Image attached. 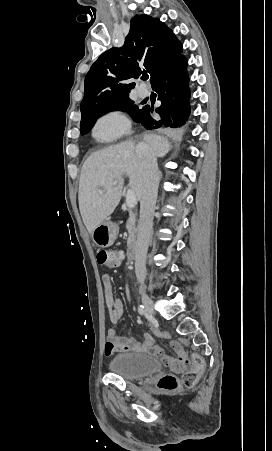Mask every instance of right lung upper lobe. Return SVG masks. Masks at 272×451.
Masks as SVG:
<instances>
[{
	"instance_id": "right-lung-upper-lobe-1",
	"label": "right lung upper lobe",
	"mask_w": 272,
	"mask_h": 451,
	"mask_svg": "<svg viewBox=\"0 0 272 451\" xmlns=\"http://www.w3.org/2000/svg\"><path fill=\"white\" fill-rule=\"evenodd\" d=\"M130 31L121 48H111L91 66L85 77L81 113L116 100L129 98L141 69L151 75V83L158 72L182 52V44L159 19L136 15L131 19Z\"/></svg>"
}]
</instances>
